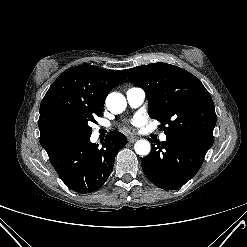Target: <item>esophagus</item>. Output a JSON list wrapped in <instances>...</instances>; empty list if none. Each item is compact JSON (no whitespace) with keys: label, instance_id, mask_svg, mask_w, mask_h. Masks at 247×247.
Wrapping results in <instances>:
<instances>
[{"label":"esophagus","instance_id":"1","mask_svg":"<svg viewBox=\"0 0 247 247\" xmlns=\"http://www.w3.org/2000/svg\"><path fill=\"white\" fill-rule=\"evenodd\" d=\"M136 140H138V137H136V136H129V137H128V142H130V143H133V142H135Z\"/></svg>","mask_w":247,"mask_h":247}]
</instances>
